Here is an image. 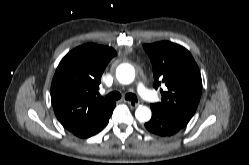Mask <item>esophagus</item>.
<instances>
[{"instance_id":"34e87169","label":"esophagus","mask_w":249,"mask_h":165,"mask_svg":"<svg viewBox=\"0 0 249 165\" xmlns=\"http://www.w3.org/2000/svg\"><path fill=\"white\" fill-rule=\"evenodd\" d=\"M128 105L131 107V108H136L139 106V103H136V102H133V101H127Z\"/></svg>"}]
</instances>
